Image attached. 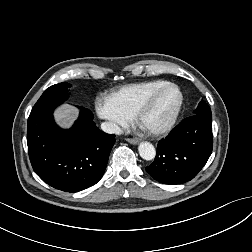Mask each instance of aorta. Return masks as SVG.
<instances>
[{
  "label": "aorta",
  "mask_w": 252,
  "mask_h": 252,
  "mask_svg": "<svg viewBox=\"0 0 252 252\" xmlns=\"http://www.w3.org/2000/svg\"><path fill=\"white\" fill-rule=\"evenodd\" d=\"M139 155L147 161L153 160L156 156L154 146L149 142H141L138 146Z\"/></svg>",
  "instance_id": "762f6f07"
}]
</instances>
